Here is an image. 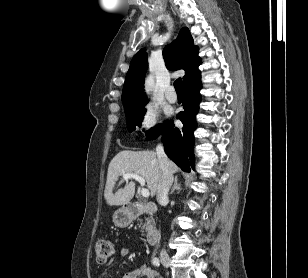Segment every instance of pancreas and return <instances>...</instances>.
Here are the masks:
<instances>
[{"label": "pancreas", "mask_w": 308, "mask_h": 278, "mask_svg": "<svg viewBox=\"0 0 308 278\" xmlns=\"http://www.w3.org/2000/svg\"><path fill=\"white\" fill-rule=\"evenodd\" d=\"M152 222V217L146 218V222L142 223L141 229L142 231H148L150 229V223Z\"/></svg>", "instance_id": "1"}]
</instances>
